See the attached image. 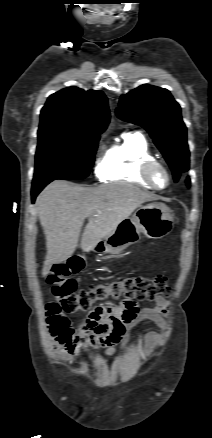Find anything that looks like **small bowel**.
I'll return each mask as SVG.
<instances>
[{
    "label": "small bowel",
    "instance_id": "1",
    "mask_svg": "<svg viewBox=\"0 0 212 438\" xmlns=\"http://www.w3.org/2000/svg\"><path fill=\"white\" fill-rule=\"evenodd\" d=\"M155 303L156 307L142 310L135 301L127 299L118 305L98 306L80 322L78 334L72 329L63 335L52 333L55 347L69 360H72L86 343L93 348L103 349L106 355L111 356L116 353L118 346L125 347L129 329L138 322L147 319L153 321L161 330L165 328L163 314L167 311L168 301L164 297H158ZM159 340L158 333L148 336L149 352L156 347Z\"/></svg>",
    "mask_w": 212,
    "mask_h": 438
}]
</instances>
